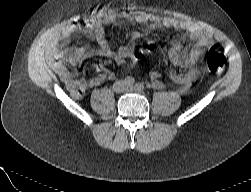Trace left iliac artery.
Segmentation results:
<instances>
[{
	"instance_id": "1",
	"label": "left iliac artery",
	"mask_w": 251,
	"mask_h": 192,
	"mask_svg": "<svg viewBox=\"0 0 251 192\" xmlns=\"http://www.w3.org/2000/svg\"><path fill=\"white\" fill-rule=\"evenodd\" d=\"M144 89V85L142 83H137L135 85V90L138 91V92H142Z\"/></svg>"
}]
</instances>
